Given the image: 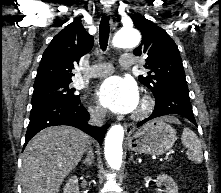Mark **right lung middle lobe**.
<instances>
[{"label": "right lung middle lobe", "instance_id": "dd1d6c3e", "mask_svg": "<svg viewBox=\"0 0 221 193\" xmlns=\"http://www.w3.org/2000/svg\"><path fill=\"white\" fill-rule=\"evenodd\" d=\"M72 81L53 82L34 86L32 105L55 100L78 101L80 98L75 95V88H70Z\"/></svg>", "mask_w": 221, "mask_h": 193}]
</instances>
